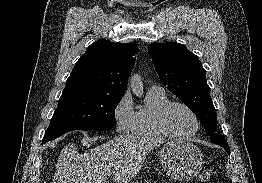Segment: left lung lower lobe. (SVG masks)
Segmentation results:
<instances>
[{
    "mask_svg": "<svg viewBox=\"0 0 262 183\" xmlns=\"http://www.w3.org/2000/svg\"><path fill=\"white\" fill-rule=\"evenodd\" d=\"M220 145L221 147H223L228 153L230 152V149H229V146H228V143H220L218 144Z\"/></svg>",
    "mask_w": 262,
    "mask_h": 183,
    "instance_id": "left-lung-lower-lobe-1",
    "label": "left lung lower lobe"
}]
</instances>
